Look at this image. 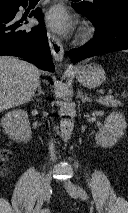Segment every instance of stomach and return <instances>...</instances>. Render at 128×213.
Segmentation results:
<instances>
[{"instance_id":"0dacf381","label":"stomach","mask_w":128,"mask_h":213,"mask_svg":"<svg viewBox=\"0 0 128 213\" xmlns=\"http://www.w3.org/2000/svg\"><path fill=\"white\" fill-rule=\"evenodd\" d=\"M77 81L88 88H95L106 80L104 69L95 63L77 67L74 70Z\"/></svg>"}]
</instances>
